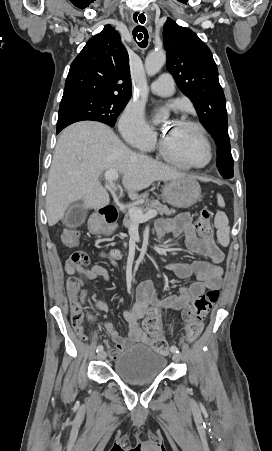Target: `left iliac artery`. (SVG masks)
<instances>
[{"mask_svg": "<svg viewBox=\"0 0 272 451\" xmlns=\"http://www.w3.org/2000/svg\"><path fill=\"white\" fill-rule=\"evenodd\" d=\"M170 350H171V352L179 353V350L176 346H171Z\"/></svg>", "mask_w": 272, "mask_h": 451, "instance_id": "obj_1", "label": "left iliac artery"}]
</instances>
